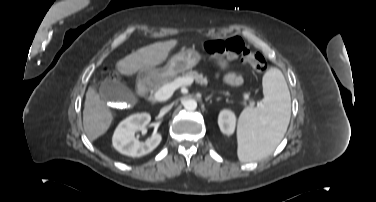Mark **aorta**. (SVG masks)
<instances>
[{
  "mask_svg": "<svg viewBox=\"0 0 376 202\" xmlns=\"http://www.w3.org/2000/svg\"><path fill=\"white\" fill-rule=\"evenodd\" d=\"M183 106L188 111H193L197 108V102L194 99H188L184 101Z\"/></svg>",
  "mask_w": 376,
  "mask_h": 202,
  "instance_id": "762f6f07",
  "label": "aorta"
}]
</instances>
